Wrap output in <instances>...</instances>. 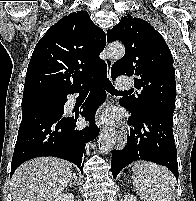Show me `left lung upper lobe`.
Here are the masks:
<instances>
[{"instance_id":"5c2ea615","label":"left lung upper lobe","mask_w":196,"mask_h":201,"mask_svg":"<svg viewBox=\"0 0 196 201\" xmlns=\"http://www.w3.org/2000/svg\"><path fill=\"white\" fill-rule=\"evenodd\" d=\"M107 41H121L125 55L113 64L111 77L135 75L134 86L141 90L121 101L133 114L149 107L174 112L176 84L173 57L163 37L147 21L131 15L107 31Z\"/></svg>"}]
</instances>
